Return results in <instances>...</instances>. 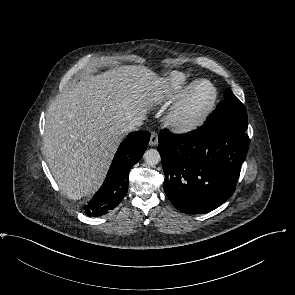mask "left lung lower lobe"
Returning <instances> with one entry per match:
<instances>
[{"label": "left lung lower lobe", "mask_w": 295, "mask_h": 295, "mask_svg": "<svg viewBox=\"0 0 295 295\" xmlns=\"http://www.w3.org/2000/svg\"><path fill=\"white\" fill-rule=\"evenodd\" d=\"M158 142L164 190L178 210L207 213L232 196L248 152L246 130L205 123L186 134L164 129Z\"/></svg>", "instance_id": "left-lung-lower-lobe-1"}]
</instances>
